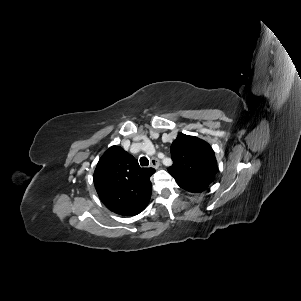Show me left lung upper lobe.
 <instances>
[{"instance_id":"5c2ea615","label":"left lung upper lobe","mask_w":301,"mask_h":301,"mask_svg":"<svg viewBox=\"0 0 301 301\" xmlns=\"http://www.w3.org/2000/svg\"><path fill=\"white\" fill-rule=\"evenodd\" d=\"M170 151L173 165L168 172L178 185L193 193L206 190L217 172V161L211 146L197 137L180 134Z\"/></svg>"}]
</instances>
